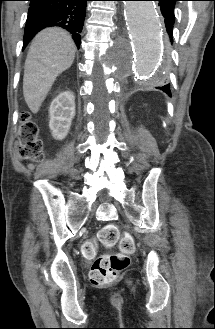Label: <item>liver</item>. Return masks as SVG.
<instances>
[{
	"label": "liver",
	"instance_id": "obj_1",
	"mask_svg": "<svg viewBox=\"0 0 215 329\" xmlns=\"http://www.w3.org/2000/svg\"><path fill=\"white\" fill-rule=\"evenodd\" d=\"M76 46L64 29L51 27L33 39L24 67L23 95L29 109L37 113L57 76L71 67Z\"/></svg>",
	"mask_w": 215,
	"mask_h": 329
}]
</instances>
